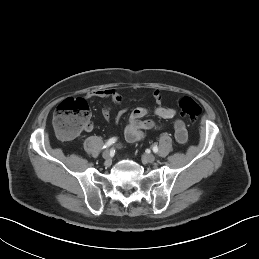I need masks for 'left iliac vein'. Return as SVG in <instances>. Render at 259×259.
<instances>
[{
    "instance_id": "obj_1",
    "label": "left iliac vein",
    "mask_w": 259,
    "mask_h": 259,
    "mask_svg": "<svg viewBox=\"0 0 259 259\" xmlns=\"http://www.w3.org/2000/svg\"><path fill=\"white\" fill-rule=\"evenodd\" d=\"M143 162L152 163L155 161V156L153 154H145L142 157Z\"/></svg>"
}]
</instances>
